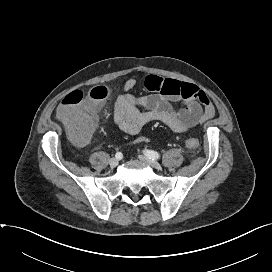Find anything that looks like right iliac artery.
Instances as JSON below:
<instances>
[{"label": "right iliac artery", "instance_id": "obj_1", "mask_svg": "<svg viewBox=\"0 0 272 272\" xmlns=\"http://www.w3.org/2000/svg\"><path fill=\"white\" fill-rule=\"evenodd\" d=\"M115 157H116L117 159H122L123 155H122L121 152H117V153L115 154Z\"/></svg>", "mask_w": 272, "mask_h": 272}]
</instances>
